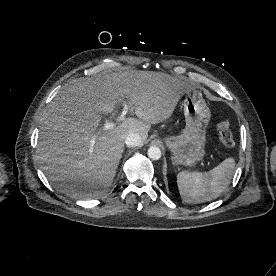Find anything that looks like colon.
<instances>
[{
  "label": "colon",
  "mask_w": 276,
  "mask_h": 276,
  "mask_svg": "<svg viewBox=\"0 0 276 276\" xmlns=\"http://www.w3.org/2000/svg\"><path fill=\"white\" fill-rule=\"evenodd\" d=\"M218 137L221 144L227 148H233L235 141L230 129V125L227 121H222L217 126Z\"/></svg>",
  "instance_id": "colon-1"
}]
</instances>
